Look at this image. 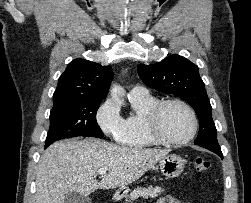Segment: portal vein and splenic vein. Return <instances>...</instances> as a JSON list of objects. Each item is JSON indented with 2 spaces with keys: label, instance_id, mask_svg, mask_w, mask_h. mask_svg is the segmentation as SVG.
<instances>
[{
  "label": "portal vein and splenic vein",
  "instance_id": "obj_1",
  "mask_svg": "<svg viewBox=\"0 0 251 203\" xmlns=\"http://www.w3.org/2000/svg\"><path fill=\"white\" fill-rule=\"evenodd\" d=\"M106 173H107V169H105V168L99 169L97 171V174H99V175H105Z\"/></svg>",
  "mask_w": 251,
  "mask_h": 203
}]
</instances>
